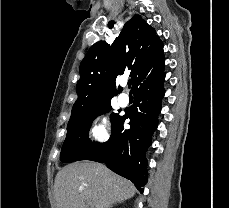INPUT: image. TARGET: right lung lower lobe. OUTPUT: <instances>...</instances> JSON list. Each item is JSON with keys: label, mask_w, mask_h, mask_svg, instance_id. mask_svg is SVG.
Here are the masks:
<instances>
[{"label": "right lung lower lobe", "mask_w": 229, "mask_h": 208, "mask_svg": "<svg viewBox=\"0 0 229 208\" xmlns=\"http://www.w3.org/2000/svg\"><path fill=\"white\" fill-rule=\"evenodd\" d=\"M164 65L153 76L133 89L134 105L125 110L110 139L95 145L78 160L105 163L115 173L131 180L143 193L146 177V151L152 134L158 126L161 100L164 96ZM125 119H130V129L124 130Z\"/></svg>", "instance_id": "obj_1"}]
</instances>
